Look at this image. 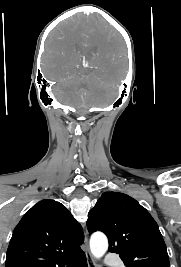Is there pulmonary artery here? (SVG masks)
<instances>
[{
  "label": "pulmonary artery",
  "mask_w": 181,
  "mask_h": 267,
  "mask_svg": "<svg viewBox=\"0 0 181 267\" xmlns=\"http://www.w3.org/2000/svg\"><path fill=\"white\" fill-rule=\"evenodd\" d=\"M107 265H117L121 267V261L113 256H107L105 259Z\"/></svg>",
  "instance_id": "e3ab8cb5"
}]
</instances>
